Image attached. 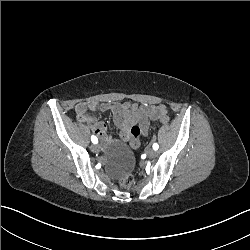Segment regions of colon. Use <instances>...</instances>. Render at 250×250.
I'll use <instances>...</instances> for the list:
<instances>
[{
    "label": "colon",
    "mask_w": 250,
    "mask_h": 250,
    "mask_svg": "<svg viewBox=\"0 0 250 250\" xmlns=\"http://www.w3.org/2000/svg\"><path fill=\"white\" fill-rule=\"evenodd\" d=\"M150 111L154 115L157 114L162 123L165 124V123L168 122V120H169L168 116H167L168 114L164 109L154 106V107L151 108ZM79 119L81 121H86L88 119V117L85 116V115H79ZM130 131L132 133V142H131L130 145L134 150L137 151V150L140 149L141 144H142L141 141H140V137H139V134H140L141 130H140L138 125L134 124V125L131 126ZM135 179H136V176L133 173L124 175L121 178L120 183L118 184V187L121 190H125L126 188L131 189L134 186Z\"/></svg>",
    "instance_id": "1"
}]
</instances>
